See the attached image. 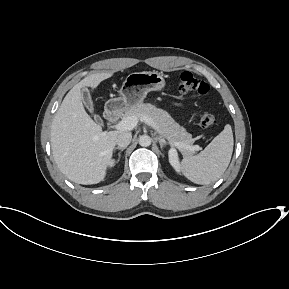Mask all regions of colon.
Here are the masks:
<instances>
[{
    "mask_svg": "<svg viewBox=\"0 0 289 289\" xmlns=\"http://www.w3.org/2000/svg\"><path fill=\"white\" fill-rule=\"evenodd\" d=\"M178 92L183 95L190 93L208 95L210 93V86L191 72L185 71L180 75ZM200 124L203 128L210 129L216 124V119L213 114L204 113Z\"/></svg>",
    "mask_w": 289,
    "mask_h": 289,
    "instance_id": "obj_1",
    "label": "colon"
}]
</instances>
